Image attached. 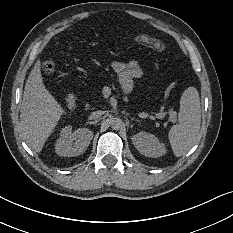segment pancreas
I'll return each mask as SVG.
<instances>
[{
  "instance_id": "pancreas-1",
  "label": "pancreas",
  "mask_w": 233,
  "mask_h": 233,
  "mask_svg": "<svg viewBox=\"0 0 233 233\" xmlns=\"http://www.w3.org/2000/svg\"><path fill=\"white\" fill-rule=\"evenodd\" d=\"M155 113H158L160 116L163 117L162 109L159 112H155ZM169 114L172 116V118H175V116L177 115V113L174 112L172 109L169 110Z\"/></svg>"
}]
</instances>
